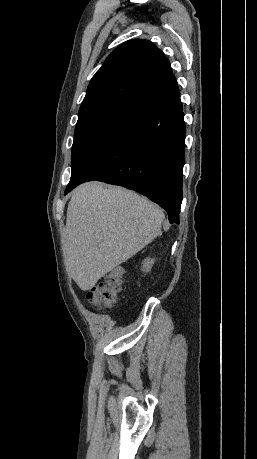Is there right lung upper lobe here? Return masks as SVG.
I'll return each mask as SVG.
<instances>
[{"mask_svg":"<svg viewBox=\"0 0 257 459\" xmlns=\"http://www.w3.org/2000/svg\"><path fill=\"white\" fill-rule=\"evenodd\" d=\"M175 86L169 60L161 50L147 40H129L93 76L78 115L114 106L138 111Z\"/></svg>","mask_w":257,"mask_h":459,"instance_id":"1","label":"right lung upper lobe"}]
</instances>
